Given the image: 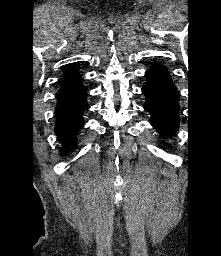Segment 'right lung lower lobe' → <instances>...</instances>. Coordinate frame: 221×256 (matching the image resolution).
Here are the masks:
<instances>
[{
  "instance_id": "1",
  "label": "right lung lower lobe",
  "mask_w": 221,
  "mask_h": 256,
  "mask_svg": "<svg viewBox=\"0 0 221 256\" xmlns=\"http://www.w3.org/2000/svg\"><path fill=\"white\" fill-rule=\"evenodd\" d=\"M86 91L58 100L55 109V132L62 144L61 154H68L77 144V134L83 127L82 114L88 108Z\"/></svg>"
}]
</instances>
